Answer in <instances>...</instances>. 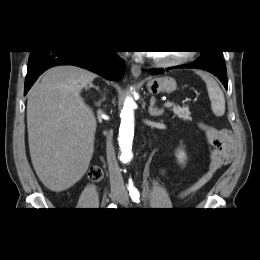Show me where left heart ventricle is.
Masks as SVG:
<instances>
[{"label": "left heart ventricle", "mask_w": 260, "mask_h": 260, "mask_svg": "<svg viewBox=\"0 0 260 260\" xmlns=\"http://www.w3.org/2000/svg\"><path fill=\"white\" fill-rule=\"evenodd\" d=\"M180 54L177 52H156L153 54V56L162 59V60H166V59H171L174 57L179 56Z\"/></svg>", "instance_id": "left-heart-ventricle-1"}]
</instances>
